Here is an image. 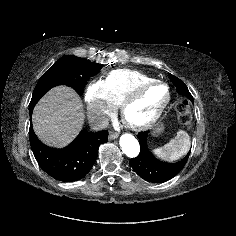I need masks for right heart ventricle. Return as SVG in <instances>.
Masks as SVG:
<instances>
[{
	"label": "right heart ventricle",
	"instance_id": "e07e8e85",
	"mask_svg": "<svg viewBox=\"0 0 236 236\" xmlns=\"http://www.w3.org/2000/svg\"><path fill=\"white\" fill-rule=\"evenodd\" d=\"M149 75L132 69H116L105 79L108 100L116 107L139 85L152 81Z\"/></svg>",
	"mask_w": 236,
	"mask_h": 236
}]
</instances>
